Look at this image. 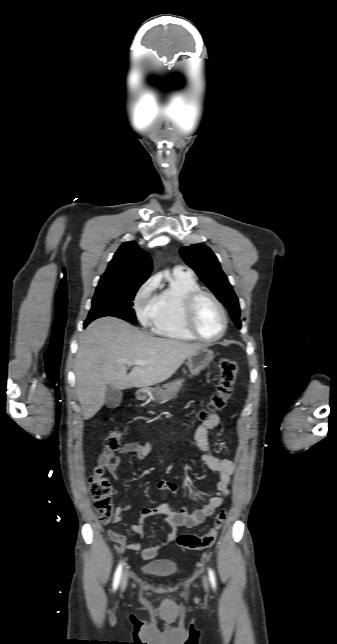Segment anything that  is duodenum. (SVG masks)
<instances>
[{
  "mask_svg": "<svg viewBox=\"0 0 337 644\" xmlns=\"http://www.w3.org/2000/svg\"><path fill=\"white\" fill-rule=\"evenodd\" d=\"M136 398H137L138 400H144V399H145V392H144V391H138V392L136 393Z\"/></svg>",
  "mask_w": 337,
  "mask_h": 644,
  "instance_id": "obj_1",
  "label": "duodenum"
}]
</instances>
